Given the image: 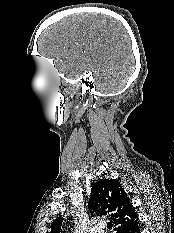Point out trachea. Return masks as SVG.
I'll list each match as a JSON object with an SVG mask.
<instances>
[{"label":"trachea","mask_w":174,"mask_h":233,"mask_svg":"<svg viewBox=\"0 0 174 233\" xmlns=\"http://www.w3.org/2000/svg\"><path fill=\"white\" fill-rule=\"evenodd\" d=\"M113 227V223L110 221L107 223V228L110 230Z\"/></svg>","instance_id":"obj_1"}]
</instances>
